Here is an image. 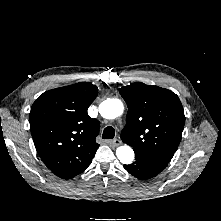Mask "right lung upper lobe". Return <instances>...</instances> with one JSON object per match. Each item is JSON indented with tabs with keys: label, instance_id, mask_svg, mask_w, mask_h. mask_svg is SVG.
Instances as JSON below:
<instances>
[{
	"label": "right lung upper lobe",
	"instance_id": "right-lung-upper-lobe-1",
	"mask_svg": "<svg viewBox=\"0 0 221 221\" xmlns=\"http://www.w3.org/2000/svg\"><path fill=\"white\" fill-rule=\"evenodd\" d=\"M98 94L95 85L79 82L43 93L32 105L30 128L44 164L58 177L71 179L92 162L99 144V122L87 109Z\"/></svg>",
	"mask_w": 221,
	"mask_h": 221
}]
</instances>
